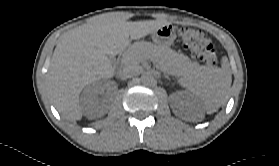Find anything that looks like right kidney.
<instances>
[{
  "label": "right kidney",
  "instance_id": "1",
  "mask_svg": "<svg viewBox=\"0 0 279 166\" xmlns=\"http://www.w3.org/2000/svg\"><path fill=\"white\" fill-rule=\"evenodd\" d=\"M107 90L108 95H113V91L109 84L105 83H94L91 86H88L83 92L82 102L84 105L94 106L98 102V94L101 91ZM117 88L115 87V91Z\"/></svg>",
  "mask_w": 279,
  "mask_h": 166
}]
</instances>
